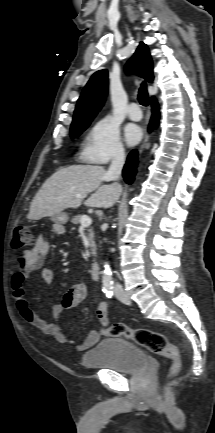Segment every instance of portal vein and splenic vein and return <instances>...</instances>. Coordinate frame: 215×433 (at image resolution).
Segmentation results:
<instances>
[{"label": "portal vein and splenic vein", "mask_w": 215, "mask_h": 433, "mask_svg": "<svg viewBox=\"0 0 215 433\" xmlns=\"http://www.w3.org/2000/svg\"><path fill=\"white\" fill-rule=\"evenodd\" d=\"M92 224V219L88 216H83L81 219V226L88 227Z\"/></svg>", "instance_id": "18ae733b"}]
</instances>
